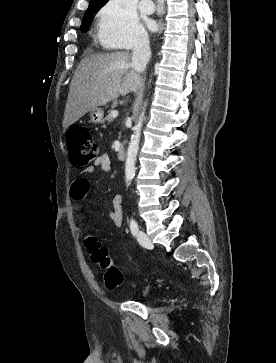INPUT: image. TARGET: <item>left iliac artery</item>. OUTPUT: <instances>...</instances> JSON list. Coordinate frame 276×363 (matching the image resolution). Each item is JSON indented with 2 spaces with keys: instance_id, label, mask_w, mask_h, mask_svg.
Masks as SVG:
<instances>
[{
  "instance_id": "1",
  "label": "left iliac artery",
  "mask_w": 276,
  "mask_h": 363,
  "mask_svg": "<svg viewBox=\"0 0 276 363\" xmlns=\"http://www.w3.org/2000/svg\"><path fill=\"white\" fill-rule=\"evenodd\" d=\"M130 230L132 232V234L135 236L137 235L138 232V224L134 219L130 220Z\"/></svg>"
}]
</instances>
